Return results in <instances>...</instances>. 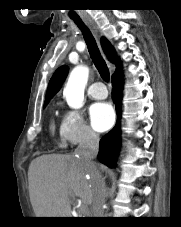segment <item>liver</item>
Masks as SVG:
<instances>
[{
    "label": "liver",
    "instance_id": "1",
    "mask_svg": "<svg viewBox=\"0 0 181 227\" xmlns=\"http://www.w3.org/2000/svg\"><path fill=\"white\" fill-rule=\"evenodd\" d=\"M92 172L71 154L35 158L29 166L28 181L36 217H70L74 196L90 205L93 202Z\"/></svg>",
    "mask_w": 181,
    "mask_h": 227
}]
</instances>
